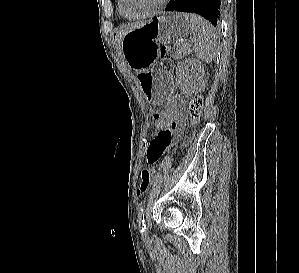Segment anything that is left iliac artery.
<instances>
[{"mask_svg": "<svg viewBox=\"0 0 299 273\" xmlns=\"http://www.w3.org/2000/svg\"><path fill=\"white\" fill-rule=\"evenodd\" d=\"M144 206H141L138 212V224H139V228L141 233H145L146 231V225H145V220H144Z\"/></svg>", "mask_w": 299, "mask_h": 273, "instance_id": "1", "label": "left iliac artery"}]
</instances>
